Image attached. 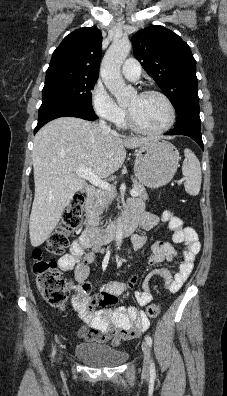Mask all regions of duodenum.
Masks as SVG:
<instances>
[{
	"instance_id": "1",
	"label": "duodenum",
	"mask_w": 227,
	"mask_h": 396,
	"mask_svg": "<svg viewBox=\"0 0 227 396\" xmlns=\"http://www.w3.org/2000/svg\"><path fill=\"white\" fill-rule=\"evenodd\" d=\"M96 195L94 187H89L85 193V204L89 206ZM137 227V220L135 217L127 214L124 220L120 223H111L105 227L97 228L89 225L84 236L89 246L93 249H98L104 243L111 241L118 234H131Z\"/></svg>"
}]
</instances>
